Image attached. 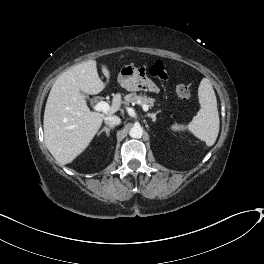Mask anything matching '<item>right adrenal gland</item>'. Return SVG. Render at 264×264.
<instances>
[{"label":"right adrenal gland","mask_w":264,"mask_h":264,"mask_svg":"<svg viewBox=\"0 0 264 264\" xmlns=\"http://www.w3.org/2000/svg\"><path fill=\"white\" fill-rule=\"evenodd\" d=\"M111 129H113V127H104L102 130H100V131L98 132V135H100L101 133L105 132L106 135L109 137V135H110L109 132H110Z\"/></svg>","instance_id":"obj_1"}]
</instances>
